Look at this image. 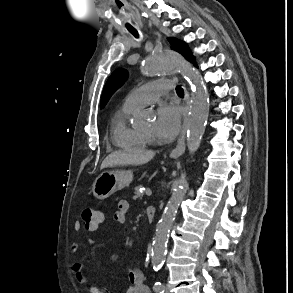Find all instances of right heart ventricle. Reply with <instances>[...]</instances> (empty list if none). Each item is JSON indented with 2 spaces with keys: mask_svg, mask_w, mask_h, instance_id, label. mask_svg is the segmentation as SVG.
Segmentation results:
<instances>
[{
  "mask_svg": "<svg viewBox=\"0 0 293 293\" xmlns=\"http://www.w3.org/2000/svg\"><path fill=\"white\" fill-rule=\"evenodd\" d=\"M136 110L123 105L112 119V142L120 149L138 150L149 145L150 140L141 131L130 125V117Z\"/></svg>",
  "mask_w": 293,
  "mask_h": 293,
  "instance_id": "e07e8e85",
  "label": "right heart ventricle"
}]
</instances>
